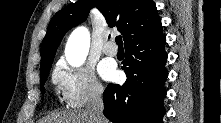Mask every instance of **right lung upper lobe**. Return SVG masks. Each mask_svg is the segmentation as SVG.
<instances>
[{
    "label": "right lung upper lobe",
    "instance_id": "obj_1",
    "mask_svg": "<svg viewBox=\"0 0 221 123\" xmlns=\"http://www.w3.org/2000/svg\"><path fill=\"white\" fill-rule=\"evenodd\" d=\"M92 7H97L107 24L123 35L125 47L162 31L161 19L152 0H79L58 11L51 19L41 46L40 70L53 62L65 33L85 21Z\"/></svg>",
    "mask_w": 221,
    "mask_h": 123
}]
</instances>
